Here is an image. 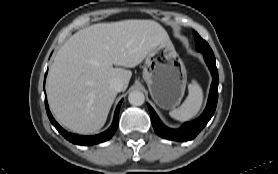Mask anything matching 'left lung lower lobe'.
Returning <instances> with one entry per match:
<instances>
[{
  "instance_id": "0a47b994",
  "label": "left lung lower lobe",
  "mask_w": 278,
  "mask_h": 174,
  "mask_svg": "<svg viewBox=\"0 0 278 174\" xmlns=\"http://www.w3.org/2000/svg\"><path fill=\"white\" fill-rule=\"evenodd\" d=\"M204 58L213 77L208 103L204 112L195 121L184 123L180 129H170L160 121L153 108L148 104L153 128L159 136L175 141L192 140L206 126L208 121L213 116L218 101V71L214 56L204 54Z\"/></svg>"
}]
</instances>
